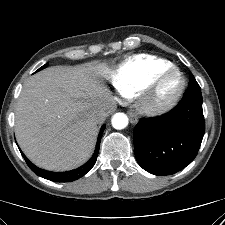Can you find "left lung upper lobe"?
Returning <instances> with one entry per match:
<instances>
[{
	"instance_id": "obj_1",
	"label": "left lung upper lobe",
	"mask_w": 225,
	"mask_h": 225,
	"mask_svg": "<svg viewBox=\"0 0 225 225\" xmlns=\"http://www.w3.org/2000/svg\"><path fill=\"white\" fill-rule=\"evenodd\" d=\"M188 86H189V88H192V89L201 90L200 86L198 85L197 81L195 80V78L192 74H191Z\"/></svg>"
}]
</instances>
